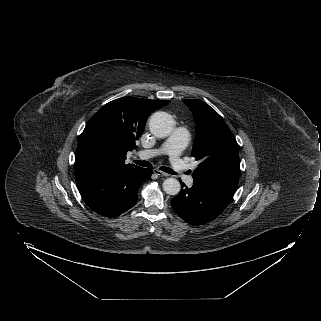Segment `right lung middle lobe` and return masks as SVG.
<instances>
[{
    "mask_svg": "<svg viewBox=\"0 0 321 321\" xmlns=\"http://www.w3.org/2000/svg\"><path fill=\"white\" fill-rule=\"evenodd\" d=\"M82 156L87 161H94L100 156V152L95 148H89L88 150L84 151Z\"/></svg>",
    "mask_w": 321,
    "mask_h": 321,
    "instance_id": "1",
    "label": "right lung middle lobe"
}]
</instances>
